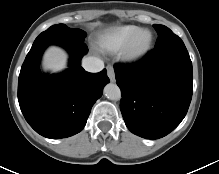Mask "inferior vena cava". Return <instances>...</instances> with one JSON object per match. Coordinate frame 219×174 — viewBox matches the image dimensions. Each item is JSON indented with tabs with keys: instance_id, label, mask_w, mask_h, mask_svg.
<instances>
[{
	"instance_id": "1",
	"label": "inferior vena cava",
	"mask_w": 219,
	"mask_h": 174,
	"mask_svg": "<svg viewBox=\"0 0 219 174\" xmlns=\"http://www.w3.org/2000/svg\"><path fill=\"white\" fill-rule=\"evenodd\" d=\"M82 66L86 71L96 73L104 68V62L96 57H86L82 60Z\"/></svg>"
}]
</instances>
